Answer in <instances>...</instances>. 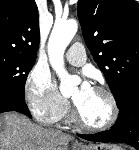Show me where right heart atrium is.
I'll use <instances>...</instances> for the list:
<instances>
[{
    "label": "right heart atrium",
    "mask_w": 139,
    "mask_h": 150,
    "mask_svg": "<svg viewBox=\"0 0 139 150\" xmlns=\"http://www.w3.org/2000/svg\"><path fill=\"white\" fill-rule=\"evenodd\" d=\"M25 98L30 112L41 124H55L69 110V102L58 93L49 73L38 66L27 76Z\"/></svg>",
    "instance_id": "obj_1"
}]
</instances>
